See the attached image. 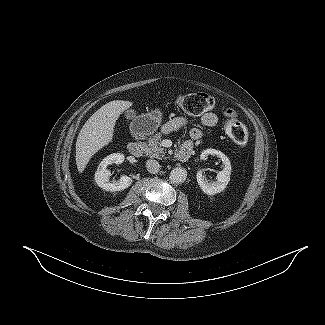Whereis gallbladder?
<instances>
[{"label": "gallbladder", "instance_id": "obj_1", "mask_svg": "<svg viewBox=\"0 0 325 325\" xmlns=\"http://www.w3.org/2000/svg\"><path fill=\"white\" fill-rule=\"evenodd\" d=\"M125 117L127 119H134L136 117V112L133 109L125 111Z\"/></svg>", "mask_w": 325, "mask_h": 325}]
</instances>
